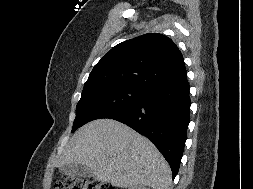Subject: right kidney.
I'll use <instances>...</instances> for the list:
<instances>
[{
  "instance_id": "1",
  "label": "right kidney",
  "mask_w": 253,
  "mask_h": 189,
  "mask_svg": "<svg viewBox=\"0 0 253 189\" xmlns=\"http://www.w3.org/2000/svg\"><path fill=\"white\" fill-rule=\"evenodd\" d=\"M129 189H147V188H145L144 186H133V187H131V188H129Z\"/></svg>"
}]
</instances>
